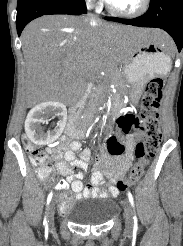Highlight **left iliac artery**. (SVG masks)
Segmentation results:
<instances>
[{"instance_id":"44dca946","label":"left iliac artery","mask_w":183,"mask_h":246,"mask_svg":"<svg viewBox=\"0 0 183 246\" xmlns=\"http://www.w3.org/2000/svg\"><path fill=\"white\" fill-rule=\"evenodd\" d=\"M128 198H129V201L132 207L134 208V199L130 191H128ZM133 219H134V228L136 229L137 228V217L134 216Z\"/></svg>"}]
</instances>
